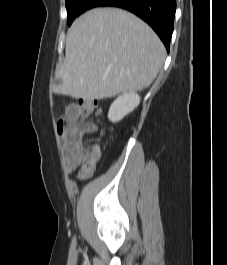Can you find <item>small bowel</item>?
Wrapping results in <instances>:
<instances>
[{"label": "small bowel", "instance_id": "obj_1", "mask_svg": "<svg viewBox=\"0 0 227 265\" xmlns=\"http://www.w3.org/2000/svg\"><path fill=\"white\" fill-rule=\"evenodd\" d=\"M79 113L80 105H69V111H66V116L72 119L73 116H79ZM94 131L95 126L92 123L73 124L68 128L66 137L63 140L67 167L70 171H78L77 178L80 181L87 180L92 176L96 161L100 155L99 147L96 144L86 148L82 143L83 136Z\"/></svg>", "mask_w": 227, "mask_h": 265}]
</instances>
